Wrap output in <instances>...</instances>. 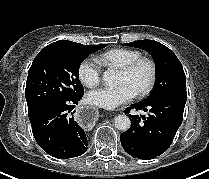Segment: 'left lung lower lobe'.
<instances>
[{
    "mask_svg": "<svg viewBox=\"0 0 209 179\" xmlns=\"http://www.w3.org/2000/svg\"><path fill=\"white\" fill-rule=\"evenodd\" d=\"M186 92H178L153 101H141L126 108L148 112V116L129 115L131 127L121 134L123 149L134 158L149 160L160 156L171 145L183 119Z\"/></svg>",
    "mask_w": 209,
    "mask_h": 179,
    "instance_id": "1",
    "label": "left lung lower lobe"
}]
</instances>
